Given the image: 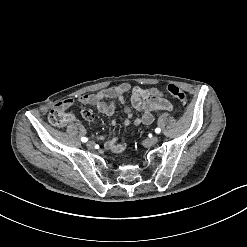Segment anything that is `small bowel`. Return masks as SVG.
<instances>
[{"mask_svg":"<svg viewBox=\"0 0 247 247\" xmlns=\"http://www.w3.org/2000/svg\"><path fill=\"white\" fill-rule=\"evenodd\" d=\"M129 95L130 106L125 104V96ZM119 101L124 105L125 125L133 124L135 126L144 124L150 125L154 121V112L171 111L173 106L167 99L166 95L156 88H141L132 86L129 83H120L118 85L100 90L96 93L84 94L78 99H66L59 102L56 107L64 110L74 101L82 105L94 106L99 112L112 117L116 110L115 101ZM132 109L142 111L141 118H134ZM82 117L87 120L89 126L97 125L98 120L94 117L90 109H83ZM117 121L112 118L111 124L116 125ZM105 149L116 153L123 152L126 149V143H118L116 139H111L105 143Z\"/></svg>","mask_w":247,"mask_h":247,"instance_id":"1","label":"small bowel"}]
</instances>
